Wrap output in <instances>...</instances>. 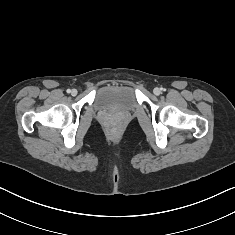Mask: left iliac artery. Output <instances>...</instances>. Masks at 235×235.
<instances>
[{
    "instance_id": "obj_1",
    "label": "left iliac artery",
    "mask_w": 235,
    "mask_h": 235,
    "mask_svg": "<svg viewBox=\"0 0 235 235\" xmlns=\"http://www.w3.org/2000/svg\"><path fill=\"white\" fill-rule=\"evenodd\" d=\"M165 89L164 88H161V91H164Z\"/></svg>"
}]
</instances>
